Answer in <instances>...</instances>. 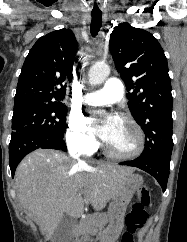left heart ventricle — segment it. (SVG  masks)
<instances>
[{"instance_id":"obj_1","label":"left heart ventricle","mask_w":187,"mask_h":242,"mask_svg":"<svg viewBox=\"0 0 187 242\" xmlns=\"http://www.w3.org/2000/svg\"><path fill=\"white\" fill-rule=\"evenodd\" d=\"M107 144L117 151H132L137 146L136 132L130 124L117 118L112 135Z\"/></svg>"}]
</instances>
